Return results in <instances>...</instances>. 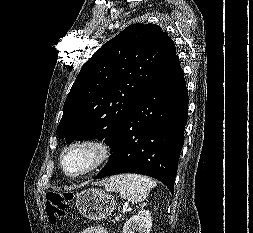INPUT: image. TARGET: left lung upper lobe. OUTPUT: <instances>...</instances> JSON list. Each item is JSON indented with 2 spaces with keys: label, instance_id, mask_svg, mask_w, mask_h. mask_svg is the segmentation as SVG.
Returning a JSON list of instances; mask_svg holds the SVG:
<instances>
[{
  "label": "left lung upper lobe",
  "instance_id": "1",
  "mask_svg": "<svg viewBox=\"0 0 253 233\" xmlns=\"http://www.w3.org/2000/svg\"><path fill=\"white\" fill-rule=\"evenodd\" d=\"M175 54L174 42L158 25L125 28L83 65L65 101L58 135L67 143L104 139L111 147Z\"/></svg>",
  "mask_w": 253,
  "mask_h": 233
}]
</instances>
